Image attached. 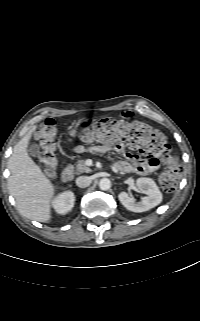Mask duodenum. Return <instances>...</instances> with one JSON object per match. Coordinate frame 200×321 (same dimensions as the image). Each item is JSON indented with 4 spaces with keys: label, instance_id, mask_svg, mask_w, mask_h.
I'll use <instances>...</instances> for the list:
<instances>
[{
    "label": "duodenum",
    "instance_id": "duodenum-1",
    "mask_svg": "<svg viewBox=\"0 0 200 321\" xmlns=\"http://www.w3.org/2000/svg\"><path fill=\"white\" fill-rule=\"evenodd\" d=\"M73 178V169H72V166L71 164L66 161L64 163V166H63V169H62V172H61V179L62 181L64 182H68L70 181L71 179Z\"/></svg>",
    "mask_w": 200,
    "mask_h": 321
}]
</instances>
